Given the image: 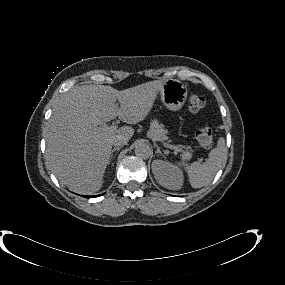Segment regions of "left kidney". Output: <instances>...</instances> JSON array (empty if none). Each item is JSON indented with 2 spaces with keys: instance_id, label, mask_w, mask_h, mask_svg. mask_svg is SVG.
I'll list each match as a JSON object with an SVG mask.
<instances>
[{
  "instance_id": "left-kidney-1",
  "label": "left kidney",
  "mask_w": 285,
  "mask_h": 285,
  "mask_svg": "<svg viewBox=\"0 0 285 285\" xmlns=\"http://www.w3.org/2000/svg\"><path fill=\"white\" fill-rule=\"evenodd\" d=\"M152 172L161 186L171 190L181 189L184 177L178 167L163 160H154L152 162Z\"/></svg>"
}]
</instances>
